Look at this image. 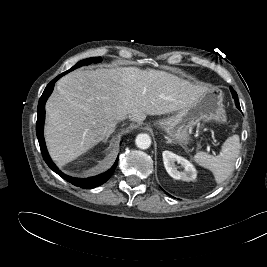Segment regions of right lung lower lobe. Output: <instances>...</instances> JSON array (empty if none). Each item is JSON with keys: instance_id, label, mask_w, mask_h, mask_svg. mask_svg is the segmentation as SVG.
I'll return each mask as SVG.
<instances>
[{"instance_id": "obj_1", "label": "right lung lower lobe", "mask_w": 267, "mask_h": 267, "mask_svg": "<svg viewBox=\"0 0 267 267\" xmlns=\"http://www.w3.org/2000/svg\"><path fill=\"white\" fill-rule=\"evenodd\" d=\"M65 74L66 73L64 72V73L60 74L59 76H57L55 79H53L47 85V87L45 88V90H44V92H43V94L39 100L38 109H37L38 116H37V123H36L37 138H38L39 145H40L41 152H42V156H43L45 162L55 173H57L63 179L67 180L68 182L72 183L75 186H78L81 188H94V187H97V186L103 184L111 177V175L113 174V172L117 166L118 158H117L116 162L114 163V165L105 173L100 174L98 176L86 178V179H78V178H73V177H70V176L62 173L57 168V166L52 162V160L49 157V154L47 152L46 146H45V142H44V138H43V126H44V119H45V102L48 99L49 95L52 93L54 83Z\"/></svg>"}]
</instances>
